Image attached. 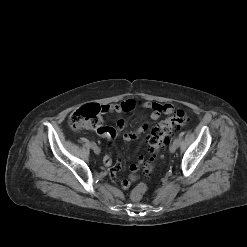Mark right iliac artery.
I'll return each mask as SVG.
<instances>
[{"label":"right iliac artery","mask_w":247,"mask_h":247,"mask_svg":"<svg viewBox=\"0 0 247 247\" xmlns=\"http://www.w3.org/2000/svg\"><path fill=\"white\" fill-rule=\"evenodd\" d=\"M90 145H91V147H93V146L96 145V143L95 142H91Z\"/></svg>","instance_id":"obj_1"}]
</instances>
